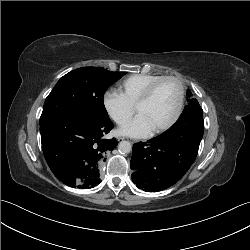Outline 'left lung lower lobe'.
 Wrapping results in <instances>:
<instances>
[{"label":"left lung lower lobe","instance_id":"1","mask_svg":"<svg viewBox=\"0 0 250 250\" xmlns=\"http://www.w3.org/2000/svg\"><path fill=\"white\" fill-rule=\"evenodd\" d=\"M203 131V111L189 109L163 134L134 144L132 181L146 192H158L175 184L194 162Z\"/></svg>","mask_w":250,"mask_h":250}]
</instances>
